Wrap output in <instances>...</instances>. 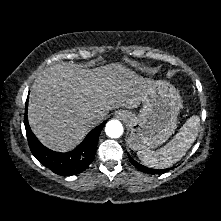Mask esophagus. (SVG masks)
I'll return each mask as SVG.
<instances>
[{
	"label": "esophagus",
	"mask_w": 221,
	"mask_h": 221,
	"mask_svg": "<svg viewBox=\"0 0 221 221\" xmlns=\"http://www.w3.org/2000/svg\"><path fill=\"white\" fill-rule=\"evenodd\" d=\"M120 117H124L125 116V114H123V113H120V115H119Z\"/></svg>",
	"instance_id": "34e87169"
}]
</instances>
